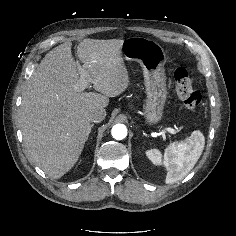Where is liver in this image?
Here are the masks:
<instances>
[{"instance_id":"liver-1","label":"liver","mask_w":236,"mask_h":236,"mask_svg":"<svg viewBox=\"0 0 236 236\" xmlns=\"http://www.w3.org/2000/svg\"><path fill=\"white\" fill-rule=\"evenodd\" d=\"M123 40L84 39L72 57L71 43L46 54L27 82L20 125L30 158L50 177L61 178L77 162L90 133L88 113L129 84L121 55ZM92 84L95 92H84Z\"/></svg>"}]
</instances>
